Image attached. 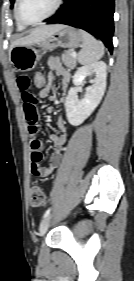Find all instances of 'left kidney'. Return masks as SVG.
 <instances>
[{
    "label": "left kidney",
    "mask_w": 134,
    "mask_h": 281,
    "mask_svg": "<svg viewBox=\"0 0 134 281\" xmlns=\"http://www.w3.org/2000/svg\"><path fill=\"white\" fill-rule=\"evenodd\" d=\"M89 75H94L92 85L86 88L85 97L77 98L75 87L83 85ZM106 64L103 61L94 62L77 69L73 76L72 87L65 99V110L68 122L73 126L82 124L99 105L106 89Z\"/></svg>",
    "instance_id": "1"
}]
</instances>
